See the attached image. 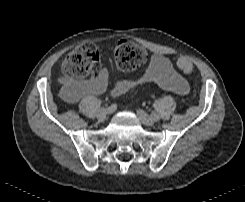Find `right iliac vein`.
<instances>
[{
    "mask_svg": "<svg viewBox=\"0 0 245 202\" xmlns=\"http://www.w3.org/2000/svg\"><path fill=\"white\" fill-rule=\"evenodd\" d=\"M110 114L108 109H100L97 113V119L99 121H103L106 119V117Z\"/></svg>",
    "mask_w": 245,
    "mask_h": 202,
    "instance_id": "63e3f726",
    "label": "right iliac vein"
}]
</instances>
